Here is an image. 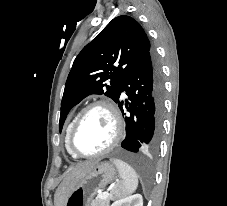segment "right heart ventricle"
Returning a JSON list of instances; mask_svg holds the SVG:
<instances>
[{"label":"right heart ventricle","instance_id":"1","mask_svg":"<svg viewBox=\"0 0 227 206\" xmlns=\"http://www.w3.org/2000/svg\"><path fill=\"white\" fill-rule=\"evenodd\" d=\"M78 114H79V112L76 113V114L74 115V117L72 118V120L69 122V124H68V126H67V130H66V139H65L66 148H67L68 152L70 153V155H71L72 157H74V158H76V156H75L74 154H72V153L70 152L69 148H68V137H69L70 130H71V128H72V126H73V124H74V122H75V120H76Z\"/></svg>","mask_w":227,"mask_h":206}]
</instances>
